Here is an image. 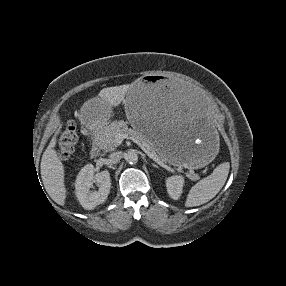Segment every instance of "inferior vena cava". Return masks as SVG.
<instances>
[{
	"label": "inferior vena cava",
	"instance_id": "602c4592",
	"mask_svg": "<svg viewBox=\"0 0 286 286\" xmlns=\"http://www.w3.org/2000/svg\"><path fill=\"white\" fill-rule=\"evenodd\" d=\"M121 158V152H113L109 155L108 163L116 164Z\"/></svg>",
	"mask_w": 286,
	"mask_h": 286
}]
</instances>
